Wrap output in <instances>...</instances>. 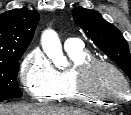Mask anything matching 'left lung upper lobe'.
I'll use <instances>...</instances> for the list:
<instances>
[{"instance_id": "left-lung-upper-lobe-1", "label": "left lung upper lobe", "mask_w": 131, "mask_h": 115, "mask_svg": "<svg viewBox=\"0 0 131 115\" xmlns=\"http://www.w3.org/2000/svg\"><path fill=\"white\" fill-rule=\"evenodd\" d=\"M77 25L131 79V54L120 31L93 10L81 6L72 10Z\"/></svg>"}]
</instances>
